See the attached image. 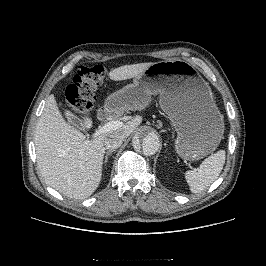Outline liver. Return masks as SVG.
I'll return each instance as SVG.
<instances>
[{"label": "liver", "mask_w": 266, "mask_h": 266, "mask_svg": "<svg viewBox=\"0 0 266 266\" xmlns=\"http://www.w3.org/2000/svg\"><path fill=\"white\" fill-rule=\"evenodd\" d=\"M151 64L124 65L109 72L114 81L134 78ZM137 116L117 130L100 135L93 140L70 126L62 117L53 94L45 103L35 130L37 164L46 183L68 198L85 199L94 193L102 178L105 153L104 139L113 133L128 137L141 124ZM86 128L92 127V119L83 117Z\"/></svg>", "instance_id": "obj_1"}]
</instances>
